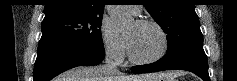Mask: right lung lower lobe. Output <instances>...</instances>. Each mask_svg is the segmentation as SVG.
<instances>
[{"label": "right lung lower lobe", "instance_id": "obj_1", "mask_svg": "<svg viewBox=\"0 0 237 81\" xmlns=\"http://www.w3.org/2000/svg\"><path fill=\"white\" fill-rule=\"evenodd\" d=\"M103 44H75L57 40H40L34 65V81H50L58 74L76 66L101 63Z\"/></svg>", "mask_w": 237, "mask_h": 81}]
</instances>
